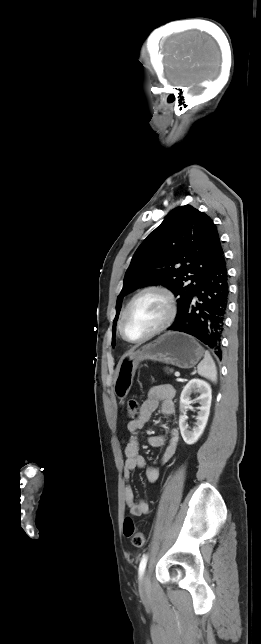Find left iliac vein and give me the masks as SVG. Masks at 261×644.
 <instances>
[{"label":"left iliac vein","instance_id":"4c4485c4","mask_svg":"<svg viewBox=\"0 0 261 644\" xmlns=\"http://www.w3.org/2000/svg\"><path fill=\"white\" fill-rule=\"evenodd\" d=\"M151 584L150 579L147 573H144L140 579L139 591L141 594H147L150 592Z\"/></svg>","mask_w":261,"mask_h":644}]
</instances>
